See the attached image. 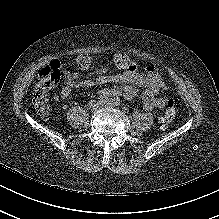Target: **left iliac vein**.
Segmentation results:
<instances>
[{
	"label": "left iliac vein",
	"instance_id": "obj_1",
	"mask_svg": "<svg viewBox=\"0 0 219 219\" xmlns=\"http://www.w3.org/2000/svg\"><path fill=\"white\" fill-rule=\"evenodd\" d=\"M102 107L112 108V107H114V104L111 101H107V102L102 104Z\"/></svg>",
	"mask_w": 219,
	"mask_h": 219
}]
</instances>
